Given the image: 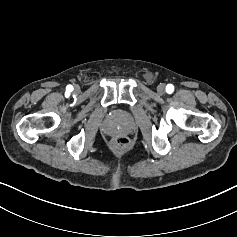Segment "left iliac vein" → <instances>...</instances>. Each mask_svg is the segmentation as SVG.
Here are the masks:
<instances>
[{"label": "left iliac vein", "mask_w": 237, "mask_h": 237, "mask_svg": "<svg viewBox=\"0 0 237 237\" xmlns=\"http://www.w3.org/2000/svg\"><path fill=\"white\" fill-rule=\"evenodd\" d=\"M157 92L159 94H163L165 92V86L164 84H159L158 87H157Z\"/></svg>", "instance_id": "left-iliac-vein-1"}]
</instances>
